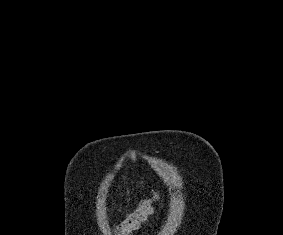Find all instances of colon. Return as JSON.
Segmentation results:
<instances>
[{"label":"colon","mask_w":283,"mask_h":235,"mask_svg":"<svg viewBox=\"0 0 283 235\" xmlns=\"http://www.w3.org/2000/svg\"><path fill=\"white\" fill-rule=\"evenodd\" d=\"M160 193L154 191L149 197L145 198L139 204L137 210L132 214V221H139L149 215L154 208V204L159 199Z\"/></svg>","instance_id":"5ec220e1"}]
</instances>
